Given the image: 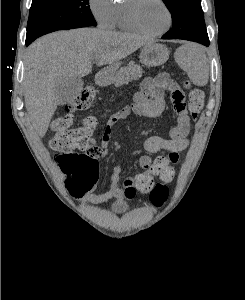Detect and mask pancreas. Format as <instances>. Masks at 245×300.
<instances>
[{
    "label": "pancreas",
    "instance_id": "cf45deb5",
    "mask_svg": "<svg viewBox=\"0 0 245 300\" xmlns=\"http://www.w3.org/2000/svg\"><path fill=\"white\" fill-rule=\"evenodd\" d=\"M142 74L143 70L139 65H136L133 61L129 62L126 67H123L118 71L114 79V84L116 87H119L125 82L141 78Z\"/></svg>",
    "mask_w": 245,
    "mask_h": 300
}]
</instances>
